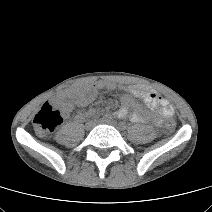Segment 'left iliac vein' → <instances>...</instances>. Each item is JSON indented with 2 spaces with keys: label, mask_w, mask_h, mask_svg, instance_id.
Instances as JSON below:
<instances>
[{
  "label": "left iliac vein",
  "mask_w": 212,
  "mask_h": 212,
  "mask_svg": "<svg viewBox=\"0 0 212 212\" xmlns=\"http://www.w3.org/2000/svg\"><path fill=\"white\" fill-rule=\"evenodd\" d=\"M99 123L111 125V126L117 128V129H119V130L121 129V128L117 125L116 122L111 121V120H108V119L100 120Z\"/></svg>",
  "instance_id": "4c4485c4"
}]
</instances>
